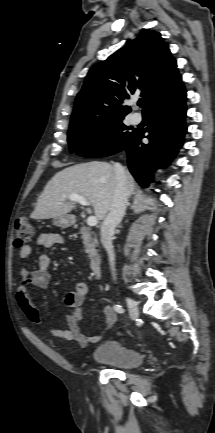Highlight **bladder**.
I'll use <instances>...</instances> for the list:
<instances>
[{"label":"bladder","mask_w":215,"mask_h":433,"mask_svg":"<svg viewBox=\"0 0 215 433\" xmlns=\"http://www.w3.org/2000/svg\"><path fill=\"white\" fill-rule=\"evenodd\" d=\"M91 360L120 369H134L142 365L144 358L136 349L116 340H108L93 350Z\"/></svg>","instance_id":"bladder-1"}]
</instances>
